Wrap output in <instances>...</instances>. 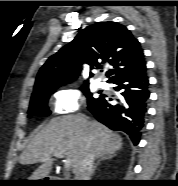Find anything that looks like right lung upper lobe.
Masks as SVG:
<instances>
[{
    "label": "right lung upper lobe",
    "mask_w": 178,
    "mask_h": 186,
    "mask_svg": "<svg viewBox=\"0 0 178 186\" xmlns=\"http://www.w3.org/2000/svg\"><path fill=\"white\" fill-rule=\"evenodd\" d=\"M144 60L140 43L125 26L116 22L90 25L48 58L37 75L32 95L72 82L79 76L83 63L89 64L91 69L112 65L113 68L106 73L111 80ZM84 85H88V80L84 81Z\"/></svg>",
    "instance_id": "right-lung-upper-lobe-1"
}]
</instances>
